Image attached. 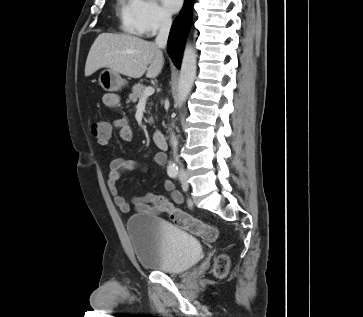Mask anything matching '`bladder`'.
Wrapping results in <instances>:
<instances>
[{
    "label": "bladder",
    "mask_w": 363,
    "mask_h": 317,
    "mask_svg": "<svg viewBox=\"0 0 363 317\" xmlns=\"http://www.w3.org/2000/svg\"><path fill=\"white\" fill-rule=\"evenodd\" d=\"M126 231L143 268L178 274L202 257V244L196 236L157 216L135 214L128 220Z\"/></svg>",
    "instance_id": "obj_1"
}]
</instances>
